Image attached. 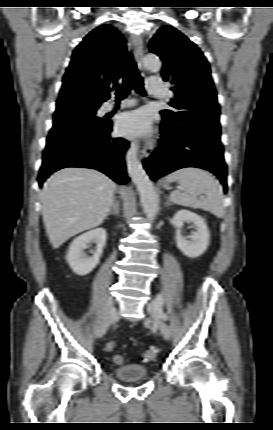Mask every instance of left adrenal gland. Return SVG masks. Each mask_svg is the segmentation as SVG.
<instances>
[{"label": "left adrenal gland", "instance_id": "1", "mask_svg": "<svg viewBox=\"0 0 273 430\" xmlns=\"http://www.w3.org/2000/svg\"><path fill=\"white\" fill-rule=\"evenodd\" d=\"M170 205H171V203H170V202H166V203H165V206H166V207H169Z\"/></svg>", "mask_w": 273, "mask_h": 430}]
</instances>
